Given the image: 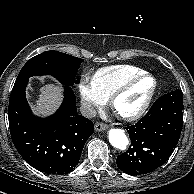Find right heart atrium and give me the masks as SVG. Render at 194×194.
Masks as SVG:
<instances>
[{
    "instance_id": "right-heart-atrium-1",
    "label": "right heart atrium",
    "mask_w": 194,
    "mask_h": 194,
    "mask_svg": "<svg viewBox=\"0 0 194 194\" xmlns=\"http://www.w3.org/2000/svg\"><path fill=\"white\" fill-rule=\"evenodd\" d=\"M83 113L92 116L97 109L102 107L106 100L98 93L92 80L83 75L77 84Z\"/></svg>"
}]
</instances>
